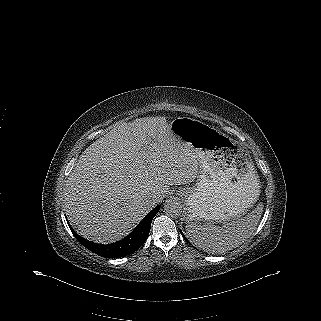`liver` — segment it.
Wrapping results in <instances>:
<instances>
[{"label": "liver", "instance_id": "6515ba94", "mask_svg": "<svg viewBox=\"0 0 321 321\" xmlns=\"http://www.w3.org/2000/svg\"><path fill=\"white\" fill-rule=\"evenodd\" d=\"M174 138L165 117L119 122L80 155L64 190L65 213L77 233L96 243L126 235L168 194L189 184L199 164ZM155 198V205L149 198Z\"/></svg>", "mask_w": 321, "mask_h": 321}]
</instances>
